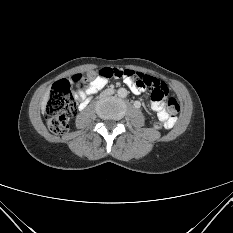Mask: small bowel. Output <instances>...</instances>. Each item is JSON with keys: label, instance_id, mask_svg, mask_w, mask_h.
<instances>
[{"label": "small bowel", "instance_id": "1", "mask_svg": "<svg viewBox=\"0 0 233 233\" xmlns=\"http://www.w3.org/2000/svg\"><path fill=\"white\" fill-rule=\"evenodd\" d=\"M108 82L107 78L104 77H98L96 78L91 86L84 92H79L78 93V98L80 100L79 107L81 109L85 108L89 102V96L95 94L98 92L100 89H102ZM125 82L131 87V90L135 93L138 94L140 92V89L131 85L128 81L125 80ZM154 108L158 113V117L161 121H164L167 123V127H171L175 123L174 118H170L167 113L165 112V109L163 107V104L154 102Z\"/></svg>", "mask_w": 233, "mask_h": 233}]
</instances>
